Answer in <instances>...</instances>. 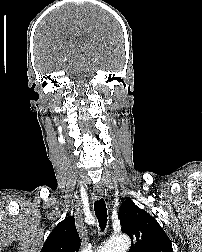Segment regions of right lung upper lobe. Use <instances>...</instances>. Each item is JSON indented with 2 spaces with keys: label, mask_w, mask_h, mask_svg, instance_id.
Masks as SVG:
<instances>
[{
  "label": "right lung upper lobe",
  "mask_w": 202,
  "mask_h": 252,
  "mask_svg": "<svg viewBox=\"0 0 202 252\" xmlns=\"http://www.w3.org/2000/svg\"><path fill=\"white\" fill-rule=\"evenodd\" d=\"M80 237L73 216L66 217L50 233L41 252H78Z\"/></svg>",
  "instance_id": "cb5924a9"
}]
</instances>
